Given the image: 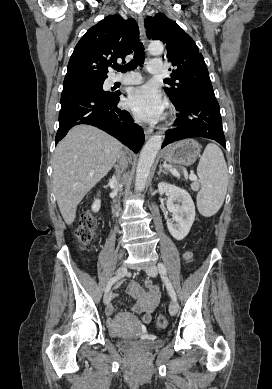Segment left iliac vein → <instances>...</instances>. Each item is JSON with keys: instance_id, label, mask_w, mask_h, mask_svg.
I'll return each instance as SVG.
<instances>
[{"instance_id": "4c4485c4", "label": "left iliac vein", "mask_w": 272, "mask_h": 389, "mask_svg": "<svg viewBox=\"0 0 272 389\" xmlns=\"http://www.w3.org/2000/svg\"><path fill=\"white\" fill-rule=\"evenodd\" d=\"M145 271L151 277H155L158 273V269L155 265H151V266L147 267ZM177 311H178V303L176 300L172 299L170 306H169V312L171 315H176Z\"/></svg>"}]
</instances>
